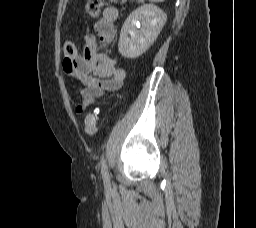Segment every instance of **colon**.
Masks as SVG:
<instances>
[{"instance_id": "obj_1", "label": "colon", "mask_w": 256, "mask_h": 228, "mask_svg": "<svg viewBox=\"0 0 256 228\" xmlns=\"http://www.w3.org/2000/svg\"><path fill=\"white\" fill-rule=\"evenodd\" d=\"M125 1L126 0H88L87 6H86L87 13L91 17L95 18L98 16L103 6L111 3H124ZM63 50H64L65 57L68 60L74 59L78 54L74 43L69 40H66L64 42ZM97 122H98L97 111L88 112L84 121V129L88 135L96 134Z\"/></svg>"}]
</instances>
